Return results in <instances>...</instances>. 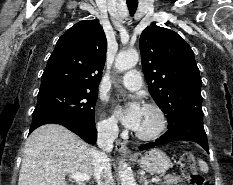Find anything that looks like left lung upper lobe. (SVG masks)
<instances>
[{
  "mask_svg": "<svg viewBox=\"0 0 233 185\" xmlns=\"http://www.w3.org/2000/svg\"><path fill=\"white\" fill-rule=\"evenodd\" d=\"M139 46L149 92L166 114L168 128L202 111V82L190 46L176 32L155 24L142 32Z\"/></svg>",
  "mask_w": 233,
  "mask_h": 185,
  "instance_id": "obj_1",
  "label": "left lung upper lobe"
}]
</instances>
